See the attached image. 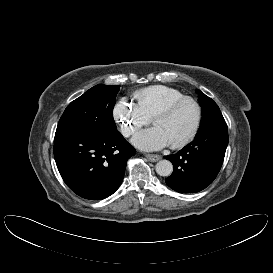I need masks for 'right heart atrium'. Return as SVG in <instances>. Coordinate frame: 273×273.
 <instances>
[{
  "label": "right heart atrium",
  "mask_w": 273,
  "mask_h": 273,
  "mask_svg": "<svg viewBox=\"0 0 273 273\" xmlns=\"http://www.w3.org/2000/svg\"><path fill=\"white\" fill-rule=\"evenodd\" d=\"M112 116L125 137L131 136L139 128L150 122V119L135 103L126 100L118 101L115 104Z\"/></svg>",
  "instance_id": "1"
}]
</instances>
